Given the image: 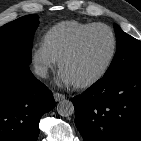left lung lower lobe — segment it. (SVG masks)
I'll return each mask as SVG.
<instances>
[{"label": "left lung lower lobe", "mask_w": 141, "mask_h": 141, "mask_svg": "<svg viewBox=\"0 0 141 141\" xmlns=\"http://www.w3.org/2000/svg\"><path fill=\"white\" fill-rule=\"evenodd\" d=\"M72 102L84 141L141 140V67L103 77Z\"/></svg>", "instance_id": "obj_1"}]
</instances>
